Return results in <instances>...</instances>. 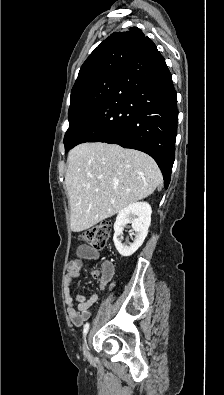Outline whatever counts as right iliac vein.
I'll return each mask as SVG.
<instances>
[{
	"label": "right iliac vein",
	"mask_w": 224,
	"mask_h": 395,
	"mask_svg": "<svg viewBox=\"0 0 224 395\" xmlns=\"http://www.w3.org/2000/svg\"><path fill=\"white\" fill-rule=\"evenodd\" d=\"M84 347H85L86 355L89 356L90 354H89V350H88V347H87V342H86V340H85Z\"/></svg>",
	"instance_id": "1"
}]
</instances>
